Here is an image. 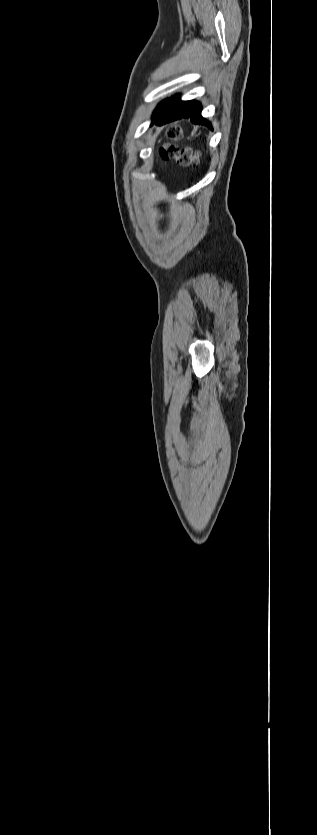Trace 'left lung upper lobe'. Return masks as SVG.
Segmentation results:
<instances>
[{
  "instance_id": "5c2ea615",
  "label": "left lung upper lobe",
  "mask_w": 317,
  "mask_h": 835,
  "mask_svg": "<svg viewBox=\"0 0 317 835\" xmlns=\"http://www.w3.org/2000/svg\"><path fill=\"white\" fill-rule=\"evenodd\" d=\"M166 101H167V100H164V101H162V102L158 105V107H157V108H156V110L154 111V115H155V114H157V113L159 112V110H160V109L164 106V104L166 103Z\"/></svg>"
}]
</instances>
